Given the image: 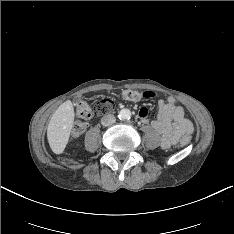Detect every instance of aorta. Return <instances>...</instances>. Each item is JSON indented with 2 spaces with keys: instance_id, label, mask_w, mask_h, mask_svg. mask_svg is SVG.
I'll use <instances>...</instances> for the list:
<instances>
[{
  "instance_id": "762f6f07",
  "label": "aorta",
  "mask_w": 234,
  "mask_h": 234,
  "mask_svg": "<svg viewBox=\"0 0 234 234\" xmlns=\"http://www.w3.org/2000/svg\"><path fill=\"white\" fill-rule=\"evenodd\" d=\"M118 117L120 120H129L131 118V111L129 109L120 110Z\"/></svg>"
}]
</instances>
